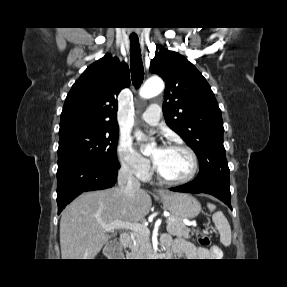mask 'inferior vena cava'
Masks as SVG:
<instances>
[{
	"mask_svg": "<svg viewBox=\"0 0 287 287\" xmlns=\"http://www.w3.org/2000/svg\"><path fill=\"white\" fill-rule=\"evenodd\" d=\"M118 185L122 192L131 199L141 189L139 180L133 176V171L126 164H123L118 172Z\"/></svg>",
	"mask_w": 287,
	"mask_h": 287,
	"instance_id": "602c4592",
	"label": "inferior vena cava"
}]
</instances>
